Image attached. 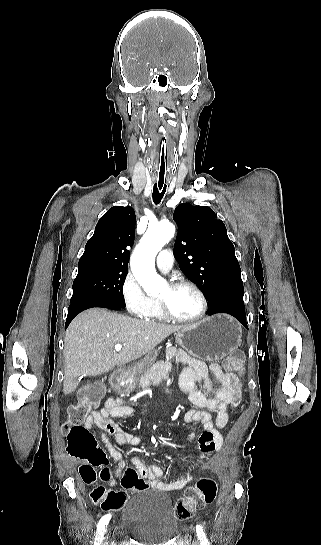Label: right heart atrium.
Instances as JSON below:
<instances>
[{
	"label": "right heart atrium",
	"instance_id": "1",
	"mask_svg": "<svg viewBox=\"0 0 321 545\" xmlns=\"http://www.w3.org/2000/svg\"><path fill=\"white\" fill-rule=\"evenodd\" d=\"M120 293L127 311L137 318L148 319L156 307V304L146 297L140 281L131 271L124 277Z\"/></svg>",
	"mask_w": 321,
	"mask_h": 545
}]
</instances>
